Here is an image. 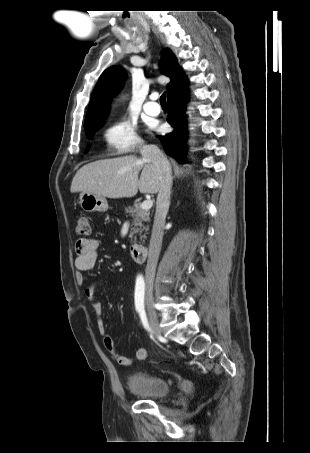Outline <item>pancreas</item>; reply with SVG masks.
I'll list each match as a JSON object with an SVG mask.
<instances>
[{"label": "pancreas", "instance_id": "pancreas-1", "mask_svg": "<svg viewBox=\"0 0 310 453\" xmlns=\"http://www.w3.org/2000/svg\"><path fill=\"white\" fill-rule=\"evenodd\" d=\"M125 214H129L132 217V224L129 237L131 240H136V234L139 233L140 239L146 238V235H142L145 231H148L149 226H145V223L150 222V212L143 210L141 204L135 203L133 207L125 208ZM128 216V215H126Z\"/></svg>", "mask_w": 310, "mask_h": 453}]
</instances>
